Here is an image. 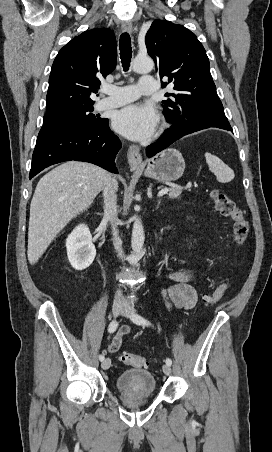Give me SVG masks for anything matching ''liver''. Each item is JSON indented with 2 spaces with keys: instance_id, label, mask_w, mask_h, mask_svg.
<instances>
[{
  "instance_id": "liver-1",
  "label": "liver",
  "mask_w": 272,
  "mask_h": 452,
  "mask_svg": "<svg viewBox=\"0 0 272 452\" xmlns=\"http://www.w3.org/2000/svg\"><path fill=\"white\" fill-rule=\"evenodd\" d=\"M110 180L103 168L87 162H65L38 182L30 205L28 260L35 264L59 232L87 210Z\"/></svg>"
}]
</instances>
